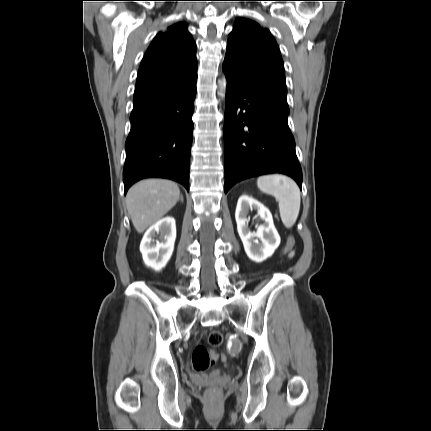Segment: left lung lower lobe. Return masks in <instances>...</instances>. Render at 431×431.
<instances>
[{"mask_svg":"<svg viewBox=\"0 0 431 431\" xmlns=\"http://www.w3.org/2000/svg\"><path fill=\"white\" fill-rule=\"evenodd\" d=\"M226 77L225 193L239 181L270 173L288 175L301 188L288 105Z\"/></svg>","mask_w":431,"mask_h":431,"instance_id":"0a47b994","label":"left lung lower lobe"}]
</instances>
